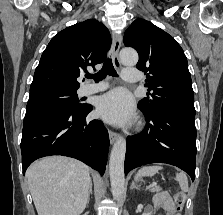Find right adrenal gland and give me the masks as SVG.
Masks as SVG:
<instances>
[{
    "label": "right adrenal gland",
    "instance_id": "obj_1",
    "mask_svg": "<svg viewBox=\"0 0 223 215\" xmlns=\"http://www.w3.org/2000/svg\"><path fill=\"white\" fill-rule=\"evenodd\" d=\"M92 185H93V183H92V181H90L89 193H88V197H87V205H88V203L90 201V193H93Z\"/></svg>",
    "mask_w": 223,
    "mask_h": 215
}]
</instances>
